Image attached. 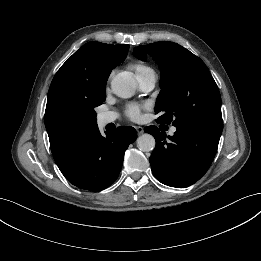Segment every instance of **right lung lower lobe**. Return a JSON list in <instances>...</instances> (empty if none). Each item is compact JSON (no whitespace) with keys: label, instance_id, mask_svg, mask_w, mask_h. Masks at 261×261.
Returning a JSON list of instances; mask_svg holds the SVG:
<instances>
[{"label":"right lung lower lobe","instance_id":"98d812e1","mask_svg":"<svg viewBox=\"0 0 261 261\" xmlns=\"http://www.w3.org/2000/svg\"><path fill=\"white\" fill-rule=\"evenodd\" d=\"M102 137L98 127L92 130L62 161L57 163L73 185L91 191L110 186L118 177L129 144L137 138L133 127L121 126Z\"/></svg>","mask_w":261,"mask_h":261}]
</instances>
